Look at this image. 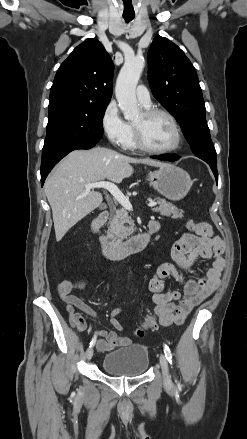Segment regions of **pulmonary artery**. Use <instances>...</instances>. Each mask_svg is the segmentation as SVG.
<instances>
[{
	"label": "pulmonary artery",
	"instance_id": "e3ab8cb5",
	"mask_svg": "<svg viewBox=\"0 0 247 439\" xmlns=\"http://www.w3.org/2000/svg\"><path fill=\"white\" fill-rule=\"evenodd\" d=\"M136 96L138 101L145 107L151 103L150 93L144 85H139L136 89Z\"/></svg>",
	"mask_w": 247,
	"mask_h": 439
}]
</instances>
